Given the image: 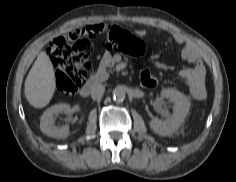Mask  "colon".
Returning a JSON list of instances; mask_svg holds the SVG:
<instances>
[{
    "mask_svg": "<svg viewBox=\"0 0 236 182\" xmlns=\"http://www.w3.org/2000/svg\"><path fill=\"white\" fill-rule=\"evenodd\" d=\"M104 34L110 46L131 56L145 52V43L129 31L112 24L87 26L77 32L54 38L46 46L47 53L56 68V86L65 95L75 94L92 69L91 45L88 38ZM140 84L145 88L157 85V78L150 69L140 72Z\"/></svg>",
    "mask_w": 236,
    "mask_h": 182,
    "instance_id": "colon-1",
    "label": "colon"
}]
</instances>
